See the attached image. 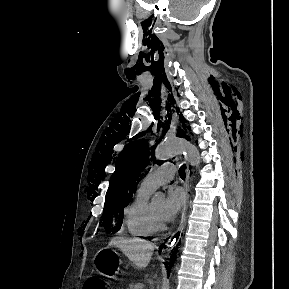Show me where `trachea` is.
<instances>
[{"label":"trachea","mask_w":289,"mask_h":289,"mask_svg":"<svg viewBox=\"0 0 289 289\" xmlns=\"http://www.w3.org/2000/svg\"><path fill=\"white\" fill-rule=\"evenodd\" d=\"M185 169H186V165H185V164L182 165V166L180 167V169H179V175H180V177H181L182 179H184L185 176H186V174H185Z\"/></svg>","instance_id":"3493384b"}]
</instances>
